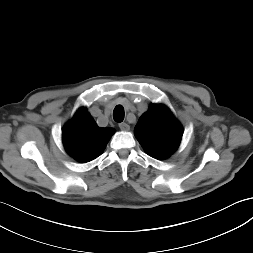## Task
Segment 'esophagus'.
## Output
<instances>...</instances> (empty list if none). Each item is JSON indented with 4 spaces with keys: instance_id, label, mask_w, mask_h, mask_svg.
<instances>
[{
    "instance_id": "esophagus-1",
    "label": "esophagus",
    "mask_w": 253,
    "mask_h": 253,
    "mask_svg": "<svg viewBox=\"0 0 253 253\" xmlns=\"http://www.w3.org/2000/svg\"><path fill=\"white\" fill-rule=\"evenodd\" d=\"M119 128L122 130V131H128L130 129V126L127 124V123H120L119 124Z\"/></svg>"
}]
</instances>
